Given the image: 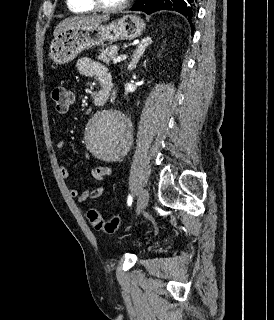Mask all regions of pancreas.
Masks as SVG:
<instances>
[{"instance_id":"cf45deb5","label":"pancreas","mask_w":274,"mask_h":320,"mask_svg":"<svg viewBox=\"0 0 274 320\" xmlns=\"http://www.w3.org/2000/svg\"><path fill=\"white\" fill-rule=\"evenodd\" d=\"M99 58L98 60H102V62H110L112 60V56H116L118 52V46H109V48H102V50H98Z\"/></svg>"}]
</instances>
